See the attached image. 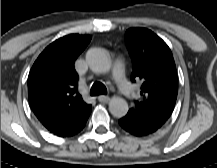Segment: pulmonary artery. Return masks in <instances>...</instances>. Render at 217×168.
<instances>
[{"label": "pulmonary artery", "instance_id": "pulmonary-artery-1", "mask_svg": "<svg viewBox=\"0 0 217 168\" xmlns=\"http://www.w3.org/2000/svg\"><path fill=\"white\" fill-rule=\"evenodd\" d=\"M112 76L120 92L122 93L124 99L126 100L132 99L135 95V92L125 79L124 63L121 59H117L114 62L113 69H112Z\"/></svg>", "mask_w": 217, "mask_h": 168}]
</instances>
